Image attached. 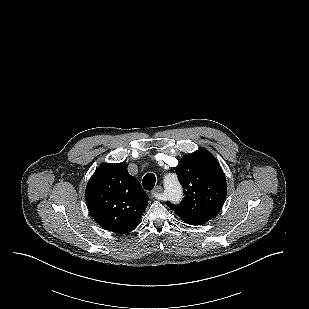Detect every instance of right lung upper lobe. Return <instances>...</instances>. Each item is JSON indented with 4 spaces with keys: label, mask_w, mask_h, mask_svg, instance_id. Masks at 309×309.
Instances as JSON below:
<instances>
[{
    "label": "right lung upper lobe",
    "mask_w": 309,
    "mask_h": 309,
    "mask_svg": "<svg viewBox=\"0 0 309 309\" xmlns=\"http://www.w3.org/2000/svg\"><path fill=\"white\" fill-rule=\"evenodd\" d=\"M85 196L94 220L118 234L129 233L138 226L149 201L124 163L102 164L90 178Z\"/></svg>",
    "instance_id": "cb5924a9"
}]
</instances>
